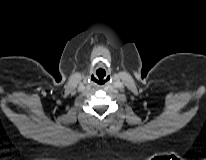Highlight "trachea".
Instances as JSON below:
<instances>
[{
	"mask_svg": "<svg viewBox=\"0 0 206 160\" xmlns=\"http://www.w3.org/2000/svg\"><path fill=\"white\" fill-rule=\"evenodd\" d=\"M97 76H98V79L96 78H93V80H95V82H98L99 84H103L105 82V80H103L104 76L106 75V72L105 73H97Z\"/></svg>",
	"mask_w": 206,
	"mask_h": 160,
	"instance_id": "3493384b",
	"label": "trachea"
}]
</instances>
